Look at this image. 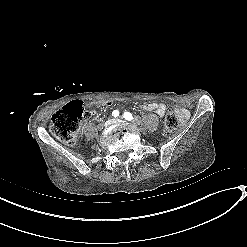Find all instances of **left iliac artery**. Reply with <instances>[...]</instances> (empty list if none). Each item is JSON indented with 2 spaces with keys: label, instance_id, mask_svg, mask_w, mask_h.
Instances as JSON below:
<instances>
[{
  "label": "left iliac artery",
  "instance_id": "obj_1",
  "mask_svg": "<svg viewBox=\"0 0 247 247\" xmlns=\"http://www.w3.org/2000/svg\"><path fill=\"white\" fill-rule=\"evenodd\" d=\"M123 117L128 121H131L133 119L132 114L129 112H124Z\"/></svg>",
  "mask_w": 247,
  "mask_h": 247
}]
</instances>
